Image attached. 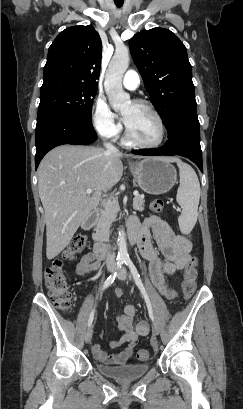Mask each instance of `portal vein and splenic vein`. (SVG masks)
Returning a JSON list of instances; mask_svg holds the SVG:
<instances>
[{
    "label": "portal vein and splenic vein",
    "mask_w": 243,
    "mask_h": 409,
    "mask_svg": "<svg viewBox=\"0 0 243 409\" xmlns=\"http://www.w3.org/2000/svg\"><path fill=\"white\" fill-rule=\"evenodd\" d=\"M92 192H93V190L89 188V189H87L83 194H84V195H90ZM134 195L137 196V195H138V192L135 191V192H134ZM108 203H109V204H112V202H111L110 200L108 201Z\"/></svg>",
    "instance_id": "18ae733b"
}]
</instances>
